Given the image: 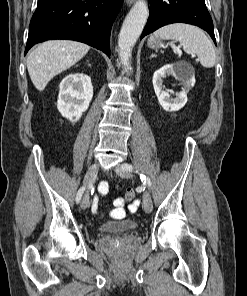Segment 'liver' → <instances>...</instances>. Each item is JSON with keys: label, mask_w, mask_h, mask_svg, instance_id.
Segmentation results:
<instances>
[{"label": "liver", "mask_w": 247, "mask_h": 296, "mask_svg": "<svg viewBox=\"0 0 247 296\" xmlns=\"http://www.w3.org/2000/svg\"><path fill=\"white\" fill-rule=\"evenodd\" d=\"M90 47L70 40H51L40 44L27 58V69L37 90L43 91L48 82L82 59Z\"/></svg>", "instance_id": "obj_1"}]
</instances>
